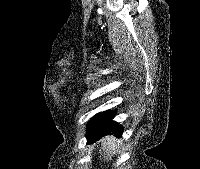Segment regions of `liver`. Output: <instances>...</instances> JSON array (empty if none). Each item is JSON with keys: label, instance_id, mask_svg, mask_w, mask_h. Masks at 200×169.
<instances>
[{"label": "liver", "instance_id": "liver-1", "mask_svg": "<svg viewBox=\"0 0 200 169\" xmlns=\"http://www.w3.org/2000/svg\"><path fill=\"white\" fill-rule=\"evenodd\" d=\"M120 140L115 136H106L101 140V148L99 153L104 156V158H110L119 149ZM103 152V154H102Z\"/></svg>", "mask_w": 200, "mask_h": 169}]
</instances>
